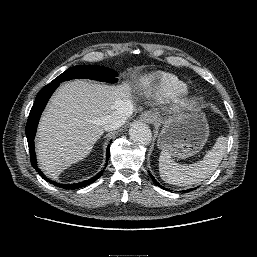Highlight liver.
Returning a JSON list of instances; mask_svg holds the SVG:
<instances>
[{"mask_svg":"<svg viewBox=\"0 0 257 257\" xmlns=\"http://www.w3.org/2000/svg\"><path fill=\"white\" fill-rule=\"evenodd\" d=\"M132 105L129 83L106 85L74 80L60 86L43 113L36 152L41 169L57 177L86 157L104 133L100 120Z\"/></svg>","mask_w":257,"mask_h":257,"instance_id":"liver-1","label":"liver"}]
</instances>
